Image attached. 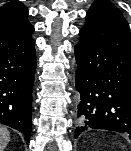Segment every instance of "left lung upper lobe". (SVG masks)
Masks as SVG:
<instances>
[{
  "instance_id": "left-lung-upper-lobe-1",
  "label": "left lung upper lobe",
  "mask_w": 131,
  "mask_h": 151,
  "mask_svg": "<svg viewBox=\"0 0 131 151\" xmlns=\"http://www.w3.org/2000/svg\"><path fill=\"white\" fill-rule=\"evenodd\" d=\"M80 32L90 39L131 56L129 25L121 12L108 0H96L92 4Z\"/></svg>"
}]
</instances>
